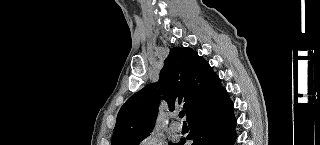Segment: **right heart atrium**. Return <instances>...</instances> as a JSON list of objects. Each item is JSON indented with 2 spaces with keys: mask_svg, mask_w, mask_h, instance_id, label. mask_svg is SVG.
<instances>
[{
  "mask_svg": "<svg viewBox=\"0 0 320 145\" xmlns=\"http://www.w3.org/2000/svg\"><path fill=\"white\" fill-rule=\"evenodd\" d=\"M163 140L159 139L155 135H148L141 139L140 145H162Z\"/></svg>",
  "mask_w": 320,
  "mask_h": 145,
  "instance_id": "obj_1",
  "label": "right heart atrium"
}]
</instances>
